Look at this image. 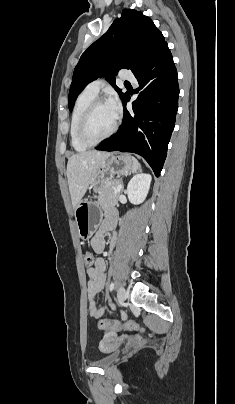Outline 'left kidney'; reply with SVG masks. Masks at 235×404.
Listing matches in <instances>:
<instances>
[{"mask_svg":"<svg viewBox=\"0 0 235 404\" xmlns=\"http://www.w3.org/2000/svg\"><path fill=\"white\" fill-rule=\"evenodd\" d=\"M152 177L147 173H139L135 175L128 183L127 195L133 204L142 203L149 192Z\"/></svg>","mask_w":235,"mask_h":404,"instance_id":"5707ae66","label":"left kidney"}]
</instances>
